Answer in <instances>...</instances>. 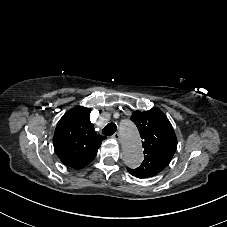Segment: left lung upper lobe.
I'll return each mask as SVG.
<instances>
[{
	"label": "left lung upper lobe",
	"mask_w": 227,
	"mask_h": 227,
	"mask_svg": "<svg viewBox=\"0 0 227 227\" xmlns=\"http://www.w3.org/2000/svg\"><path fill=\"white\" fill-rule=\"evenodd\" d=\"M131 120L143 139L144 161L140 167L127 170L138 178L152 177L171 161L177 148L175 132L166 115L158 108L134 111Z\"/></svg>",
	"instance_id": "obj_1"
}]
</instances>
